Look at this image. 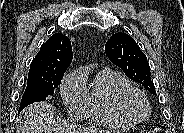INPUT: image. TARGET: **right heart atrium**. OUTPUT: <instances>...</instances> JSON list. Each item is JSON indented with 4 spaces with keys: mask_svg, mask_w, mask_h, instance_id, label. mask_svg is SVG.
I'll list each match as a JSON object with an SVG mask.
<instances>
[{
    "mask_svg": "<svg viewBox=\"0 0 184 133\" xmlns=\"http://www.w3.org/2000/svg\"><path fill=\"white\" fill-rule=\"evenodd\" d=\"M60 95L73 117L81 119L86 116L89 92L81 71L72 72L64 77L60 85Z\"/></svg>",
    "mask_w": 184,
    "mask_h": 133,
    "instance_id": "1",
    "label": "right heart atrium"
}]
</instances>
